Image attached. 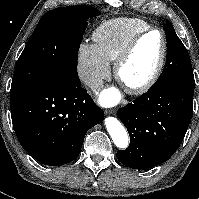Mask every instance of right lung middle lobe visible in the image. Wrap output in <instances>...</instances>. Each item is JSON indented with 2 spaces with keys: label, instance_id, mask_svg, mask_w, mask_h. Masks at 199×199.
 Here are the masks:
<instances>
[{
  "label": "right lung middle lobe",
  "instance_id": "obj_1",
  "mask_svg": "<svg viewBox=\"0 0 199 199\" xmlns=\"http://www.w3.org/2000/svg\"><path fill=\"white\" fill-rule=\"evenodd\" d=\"M100 12L87 5L60 7L40 19L13 75L10 96L51 75L79 82L77 56L87 19Z\"/></svg>",
  "mask_w": 199,
  "mask_h": 199
}]
</instances>
